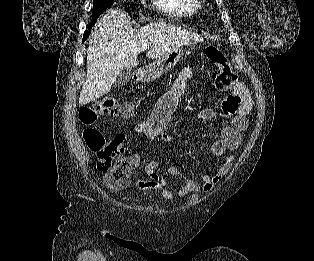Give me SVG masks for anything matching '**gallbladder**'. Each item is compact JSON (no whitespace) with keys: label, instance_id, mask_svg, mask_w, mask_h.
I'll list each match as a JSON object with an SVG mask.
<instances>
[{"label":"gallbladder","instance_id":"1","mask_svg":"<svg viewBox=\"0 0 314 261\" xmlns=\"http://www.w3.org/2000/svg\"><path fill=\"white\" fill-rule=\"evenodd\" d=\"M131 77H132L131 70L128 68H124L117 76L114 82V86L115 87L125 86L130 81Z\"/></svg>","mask_w":314,"mask_h":261}]
</instances>
